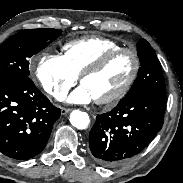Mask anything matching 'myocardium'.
Listing matches in <instances>:
<instances>
[{"label": "myocardium", "instance_id": "f54148a6", "mask_svg": "<svg viewBox=\"0 0 183 183\" xmlns=\"http://www.w3.org/2000/svg\"><path fill=\"white\" fill-rule=\"evenodd\" d=\"M121 53H127L129 54L134 62L132 72L124 84V86L119 89L117 92L113 93L112 95L102 98V99H96L95 102L100 105H111L119 100H121L131 89L133 86L134 82L136 81V78L139 74L140 70V58L137 54V52L133 49L126 48V47H119L114 50H111L104 54L102 57H100L96 62L91 64L88 68H86L80 75V83L82 84L83 80L95 73H98L102 69H104L117 55Z\"/></svg>", "mask_w": 183, "mask_h": 183}]
</instances>
